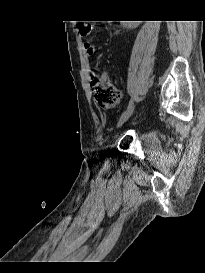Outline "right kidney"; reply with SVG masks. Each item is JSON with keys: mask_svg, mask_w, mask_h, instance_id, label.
I'll return each instance as SVG.
<instances>
[{"mask_svg": "<svg viewBox=\"0 0 205 273\" xmlns=\"http://www.w3.org/2000/svg\"><path fill=\"white\" fill-rule=\"evenodd\" d=\"M123 23H125L123 25L126 27L136 28L139 25L140 21H123Z\"/></svg>", "mask_w": 205, "mask_h": 273, "instance_id": "obj_1", "label": "right kidney"}]
</instances>
